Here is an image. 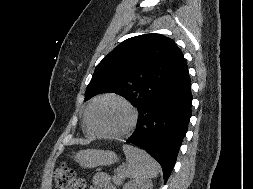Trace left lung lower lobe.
Listing matches in <instances>:
<instances>
[{
	"instance_id": "1",
	"label": "left lung lower lobe",
	"mask_w": 253,
	"mask_h": 189,
	"mask_svg": "<svg viewBox=\"0 0 253 189\" xmlns=\"http://www.w3.org/2000/svg\"><path fill=\"white\" fill-rule=\"evenodd\" d=\"M191 80L187 64L178 75L138 112L136 130L126 140L155 158L164 183L175 165L191 117Z\"/></svg>"
}]
</instances>
